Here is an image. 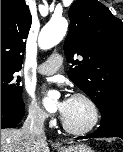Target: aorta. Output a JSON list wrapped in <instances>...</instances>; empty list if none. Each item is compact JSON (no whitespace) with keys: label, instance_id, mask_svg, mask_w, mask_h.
<instances>
[{"label":"aorta","instance_id":"obj_1","mask_svg":"<svg viewBox=\"0 0 123 152\" xmlns=\"http://www.w3.org/2000/svg\"><path fill=\"white\" fill-rule=\"evenodd\" d=\"M68 28V22L65 18L51 19L41 30L39 35V47L47 50L57 45L65 36ZM53 92H49L44 98L43 104L46 109H51L55 106Z\"/></svg>","mask_w":123,"mask_h":152}]
</instances>
